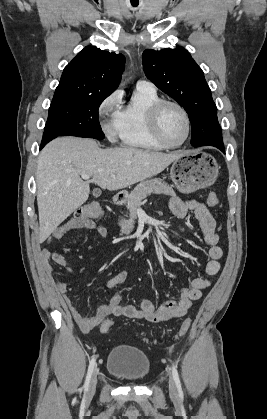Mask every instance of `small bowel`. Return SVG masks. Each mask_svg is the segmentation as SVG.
I'll return each mask as SVG.
<instances>
[{"label":"small bowel","instance_id":"small-bowel-1","mask_svg":"<svg viewBox=\"0 0 267 419\" xmlns=\"http://www.w3.org/2000/svg\"><path fill=\"white\" fill-rule=\"evenodd\" d=\"M169 209L173 216L180 219L186 217L189 211L194 213L202 230L204 241L209 246V260L203 267V273L209 277L215 276L221 268L220 259L223 255V251L218 245V235L215 231V219L206 205L196 200L183 201L174 197L169 202ZM75 229L94 231L102 238L108 236L107 229L96 224L93 220H76L72 218L57 227L52 233L51 239H62L68 232ZM68 250L69 248H64L60 251L45 249L41 252V262L47 273L52 274V269L49 265L50 261H53L61 267H65L69 272L74 271L73 268L67 267L64 254ZM128 275L129 270L127 269L119 271L106 282L107 289L113 290L122 285L126 281ZM212 282V279L209 278H195L191 281L189 287L181 289L178 301L170 300L157 308L150 300H142L138 306L123 305V296L120 293H116L108 302L98 307L95 314L91 317H84L79 313L74 303L67 295V284L64 281H58L56 283V289L62 295L65 304L79 328L87 333L94 330L109 315L125 316L132 319H145L151 323H161L182 317L188 312L192 302L199 300L202 296V291L208 288Z\"/></svg>","mask_w":267,"mask_h":419}]
</instances>
